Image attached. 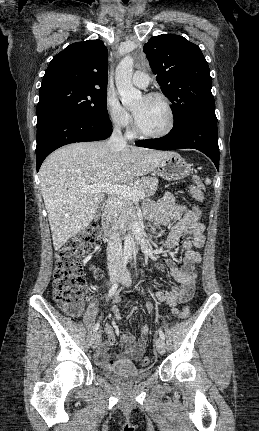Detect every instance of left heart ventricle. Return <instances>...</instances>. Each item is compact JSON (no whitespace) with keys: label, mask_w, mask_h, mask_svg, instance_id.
Wrapping results in <instances>:
<instances>
[{"label":"left heart ventricle","mask_w":259,"mask_h":431,"mask_svg":"<svg viewBox=\"0 0 259 431\" xmlns=\"http://www.w3.org/2000/svg\"><path fill=\"white\" fill-rule=\"evenodd\" d=\"M139 127L148 133L163 130L168 122V114L162 101L141 98L133 107Z\"/></svg>","instance_id":"obj_1"}]
</instances>
